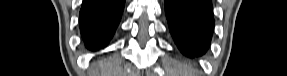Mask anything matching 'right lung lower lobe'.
<instances>
[{"label":"right lung lower lobe","instance_id":"obj_1","mask_svg":"<svg viewBox=\"0 0 287 76\" xmlns=\"http://www.w3.org/2000/svg\"><path fill=\"white\" fill-rule=\"evenodd\" d=\"M125 0H83L80 10V31L85 46L97 50L107 46L123 11Z\"/></svg>","mask_w":287,"mask_h":76}]
</instances>
